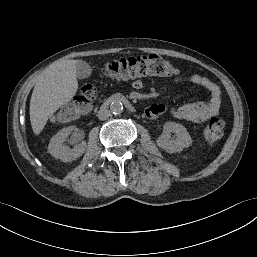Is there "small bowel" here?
<instances>
[{"label": "small bowel", "instance_id": "c3829d8e", "mask_svg": "<svg viewBox=\"0 0 257 257\" xmlns=\"http://www.w3.org/2000/svg\"><path fill=\"white\" fill-rule=\"evenodd\" d=\"M173 82L175 84L200 86L208 92L209 98L207 101L191 102L180 106L154 104L146 109V115L149 118H157L164 114H169L180 120L201 123L219 113L221 106L220 89L212 80L199 74L184 76L177 73ZM142 85L141 80L133 82L135 88H141Z\"/></svg>", "mask_w": 257, "mask_h": 257}]
</instances>
